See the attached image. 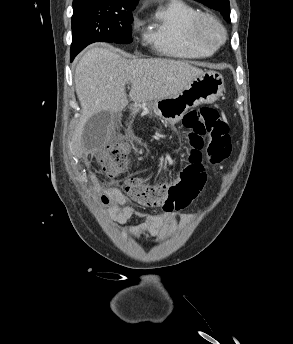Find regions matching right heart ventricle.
I'll list each match as a JSON object with an SVG mask.
<instances>
[{"label": "right heart ventricle", "mask_w": 293, "mask_h": 344, "mask_svg": "<svg viewBox=\"0 0 293 344\" xmlns=\"http://www.w3.org/2000/svg\"><path fill=\"white\" fill-rule=\"evenodd\" d=\"M200 11L184 0H169L161 5L143 32V40L159 54L180 59H201L215 50L200 45L193 25Z\"/></svg>", "instance_id": "right-heart-ventricle-1"}]
</instances>
